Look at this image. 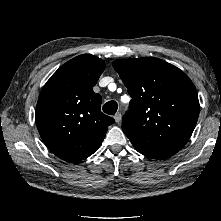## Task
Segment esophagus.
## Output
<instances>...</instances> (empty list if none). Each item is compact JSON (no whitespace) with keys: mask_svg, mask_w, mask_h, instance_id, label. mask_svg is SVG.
Returning <instances> with one entry per match:
<instances>
[{"mask_svg":"<svg viewBox=\"0 0 221 221\" xmlns=\"http://www.w3.org/2000/svg\"><path fill=\"white\" fill-rule=\"evenodd\" d=\"M121 118H122L121 113H116L114 115V119L116 123H119L121 121Z\"/></svg>","mask_w":221,"mask_h":221,"instance_id":"34e87169","label":"esophagus"}]
</instances>
